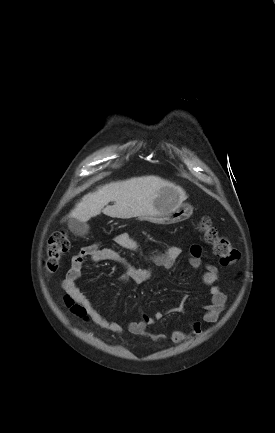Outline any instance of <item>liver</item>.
<instances>
[{"label": "liver", "instance_id": "6515ba94", "mask_svg": "<svg viewBox=\"0 0 275 433\" xmlns=\"http://www.w3.org/2000/svg\"><path fill=\"white\" fill-rule=\"evenodd\" d=\"M164 187L175 188L180 193L181 201L187 198L182 188L160 177H135L106 184L85 195L68 217L87 222L101 212L113 218L123 219L153 216L156 214L154 196ZM111 201L115 202L114 205L108 206Z\"/></svg>", "mask_w": 275, "mask_h": 433}]
</instances>
